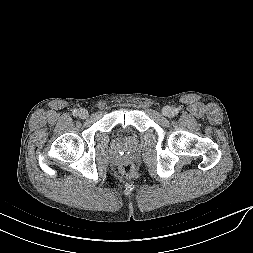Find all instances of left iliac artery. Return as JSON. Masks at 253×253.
<instances>
[{"label":"left iliac artery","instance_id":"1","mask_svg":"<svg viewBox=\"0 0 253 253\" xmlns=\"http://www.w3.org/2000/svg\"><path fill=\"white\" fill-rule=\"evenodd\" d=\"M172 113H173L174 115H176V114L178 113V109H177V108H174Z\"/></svg>","mask_w":253,"mask_h":253}]
</instances>
